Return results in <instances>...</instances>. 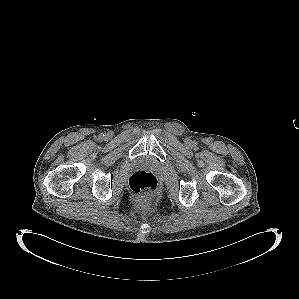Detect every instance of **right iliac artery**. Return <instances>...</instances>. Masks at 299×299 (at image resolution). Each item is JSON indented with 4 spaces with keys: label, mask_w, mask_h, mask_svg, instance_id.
I'll list each match as a JSON object with an SVG mask.
<instances>
[{
    "label": "right iliac artery",
    "mask_w": 299,
    "mask_h": 299,
    "mask_svg": "<svg viewBox=\"0 0 299 299\" xmlns=\"http://www.w3.org/2000/svg\"><path fill=\"white\" fill-rule=\"evenodd\" d=\"M99 137H100V139H103V137H104V134H101Z\"/></svg>",
    "instance_id": "right-iliac-artery-1"
}]
</instances>
